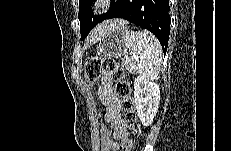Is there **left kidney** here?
<instances>
[{
	"instance_id": "left-kidney-1",
	"label": "left kidney",
	"mask_w": 231,
	"mask_h": 151,
	"mask_svg": "<svg viewBox=\"0 0 231 151\" xmlns=\"http://www.w3.org/2000/svg\"><path fill=\"white\" fill-rule=\"evenodd\" d=\"M134 103L137 116L144 126L153 122L160 100L159 85L142 76H138L134 82Z\"/></svg>"
}]
</instances>
